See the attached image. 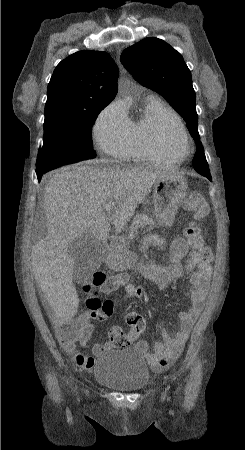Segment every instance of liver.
<instances>
[{"label": "liver", "mask_w": 245, "mask_h": 450, "mask_svg": "<svg viewBox=\"0 0 245 450\" xmlns=\"http://www.w3.org/2000/svg\"><path fill=\"white\" fill-rule=\"evenodd\" d=\"M181 177L161 169L98 168L75 165L56 170L44 192L47 236L32 249L31 264L37 284L62 318H72L79 299L73 284L74 259L70 245L83 235L100 242L110 223L118 234L150 193L156 181ZM111 205L108 216L104 207Z\"/></svg>", "instance_id": "liver-1"}]
</instances>
